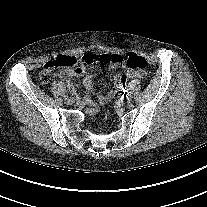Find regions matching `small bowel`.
<instances>
[{
  "instance_id": "1",
  "label": "small bowel",
  "mask_w": 207,
  "mask_h": 207,
  "mask_svg": "<svg viewBox=\"0 0 207 207\" xmlns=\"http://www.w3.org/2000/svg\"><path fill=\"white\" fill-rule=\"evenodd\" d=\"M81 75L83 77V85L86 90L92 91L94 89V83H93V78L92 76L86 71L85 67H80L78 68L75 72H59L58 76L61 78H67L69 76H79ZM123 75L135 78V79H140L144 77L143 72L139 71H130L128 69L124 70L123 74H116L115 75V87L114 89L108 93L107 95L99 96V101L102 106L107 105L110 100L118 93L124 90V83H123ZM87 101L91 103L88 99ZM92 109L91 113L95 114L98 111V106L94 103H91Z\"/></svg>"
}]
</instances>
